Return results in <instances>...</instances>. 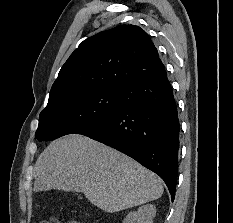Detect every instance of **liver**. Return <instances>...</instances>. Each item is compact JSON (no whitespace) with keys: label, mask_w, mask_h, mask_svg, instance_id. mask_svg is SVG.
Segmentation results:
<instances>
[{"label":"liver","mask_w":233,"mask_h":223,"mask_svg":"<svg viewBox=\"0 0 233 223\" xmlns=\"http://www.w3.org/2000/svg\"><path fill=\"white\" fill-rule=\"evenodd\" d=\"M34 191H82L103 211H120L163 193L160 177L128 155L84 135L51 141L34 167Z\"/></svg>","instance_id":"obj_1"}]
</instances>
